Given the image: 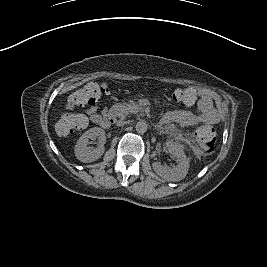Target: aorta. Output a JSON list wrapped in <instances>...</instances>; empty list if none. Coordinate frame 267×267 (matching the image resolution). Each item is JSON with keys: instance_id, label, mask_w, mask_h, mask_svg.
<instances>
[{"instance_id": "obj_1", "label": "aorta", "mask_w": 267, "mask_h": 267, "mask_svg": "<svg viewBox=\"0 0 267 267\" xmlns=\"http://www.w3.org/2000/svg\"><path fill=\"white\" fill-rule=\"evenodd\" d=\"M147 128L148 124L145 120H139L135 125L136 131L141 134L145 133L147 131Z\"/></svg>"}]
</instances>
